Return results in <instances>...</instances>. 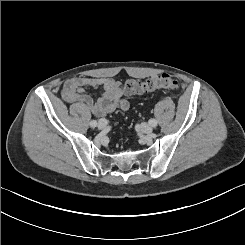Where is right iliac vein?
<instances>
[{"instance_id":"63e3f726","label":"right iliac vein","mask_w":245,"mask_h":245,"mask_svg":"<svg viewBox=\"0 0 245 245\" xmlns=\"http://www.w3.org/2000/svg\"><path fill=\"white\" fill-rule=\"evenodd\" d=\"M107 126V120L106 119H100L98 122V128L99 129H104Z\"/></svg>"}]
</instances>
